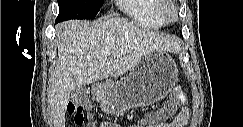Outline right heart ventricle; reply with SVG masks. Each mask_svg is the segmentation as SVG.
Returning a JSON list of instances; mask_svg holds the SVG:
<instances>
[{"instance_id":"1","label":"right heart ventricle","mask_w":243,"mask_h":127,"mask_svg":"<svg viewBox=\"0 0 243 127\" xmlns=\"http://www.w3.org/2000/svg\"><path fill=\"white\" fill-rule=\"evenodd\" d=\"M163 0H121V11L135 24L159 29L165 25L160 16Z\"/></svg>"}]
</instances>
